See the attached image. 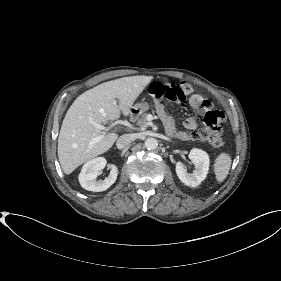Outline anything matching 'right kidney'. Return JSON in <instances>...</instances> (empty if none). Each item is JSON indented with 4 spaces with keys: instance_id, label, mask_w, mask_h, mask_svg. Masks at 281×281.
Here are the masks:
<instances>
[{
    "instance_id": "right-kidney-1",
    "label": "right kidney",
    "mask_w": 281,
    "mask_h": 281,
    "mask_svg": "<svg viewBox=\"0 0 281 281\" xmlns=\"http://www.w3.org/2000/svg\"><path fill=\"white\" fill-rule=\"evenodd\" d=\"M107 161L104 157L94 158L85 163L79 174L81 186L89 191L101 192L107 190L117 179L118 168L116 165H110L109 176L104 180H96L100 171L106 166Z\"/></svg>"
}]
</instances>
